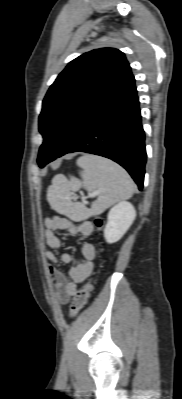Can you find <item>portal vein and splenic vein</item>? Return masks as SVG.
<instances>
[{"label":"portal vein and splenic vein","instance_id":"18ae733b","mask_svg":"<svg viewBox=\"0 0 182 399\" xmlns=\"http://www.w3.org/2000/svg\"><path fill=\"white\" fill-rule=\"evenodd\" d=\"M91 195H92V196H95V195H97V193H96V192H93V193H91Z\"/></svg>","mask_w":182,"mask_h":399}]
</instances>
